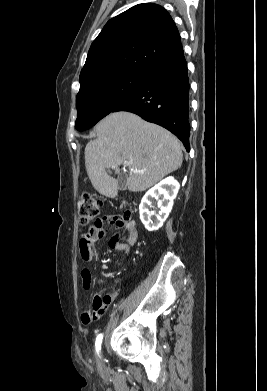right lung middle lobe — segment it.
Instances as JSON below:
<instances>
[{
	"mask_svg": "<svg viewBox=\"0 0 267 391\" xmlns=\"http://www.w3.org/2000/svg\"><path fill=\"white\" fill-rule=\"evenodd\" d=\"M147 73L119 71L98 75L84 83L77 94V120L75 128L84 131L135 92L144 82Z\"/></svg>",
	"mask_w": 267,
	"mask_h": 391,
	"instance_id": "right-lung-middle-lobe-1",
	"label": "right lung middle lobe"
}]
</instances>
